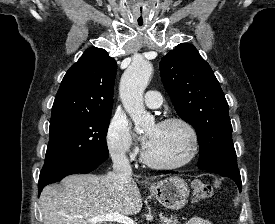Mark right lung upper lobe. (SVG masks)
<instances>
[{
	"instance_id": "right-lung-upper-lobe-1",
	"label": "right lung upper lobe",
	"mask_w": 275,
	"mask_h": 224,
	"mask_svg": "<svg viewBox=\"0 0 275 224\" xmlns=\"http://www.w3.org/2000/svg\"><path fill=\"white\" fill-rule=\"evenodd\" d=\"M116 69V61L107 51L88 48L65 74L52 116L111 113Z\"/></svg>"
}]
</instances>
